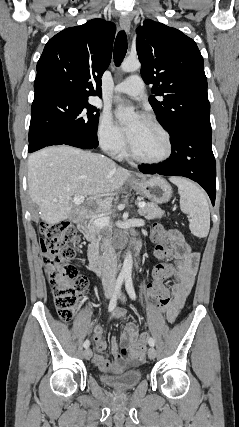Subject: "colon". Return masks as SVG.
Returning a JSON list of instances; mask_svg holds the SVG:
<instances>
[{"label": "colon", "mask_w": 239, "mask_h": 427, "mask_svg": "<svg viewBox=\"0 0 239 427\" xmlns=\"http://www.w3.org/2000/svg\"><path fill=\"white\" fill-rule=\"evenodd\" d=\"M149 232L155 262L152 263V280L147 282L144 294L145 301L150 307L160 305L163 308L170 297L168 284L171 281L172 259L169 258L170 235L166 234L164 222H153ZM41 234L42 260L54 295V302L59 317L70 321L79 299L83 296L87 278L78 272L72 261L78 253L79 235L68 222L46 223L39 225ZM147 334H142L140 340L123 349L122 354L134 363L144 361Z\"/></svg>", "instance_id": "5ec220e1"}]
</instances>
